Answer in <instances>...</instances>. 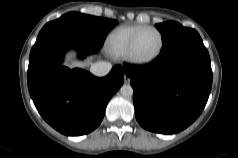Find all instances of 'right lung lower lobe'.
I'll use <instances>...</instances> for the list:
<instances>
[{
  "instance_id": "obj_1",
  "label": "right lung lower lobe",
  "mask_w": 238,
  "mask_h": 158,
  "mask_svg": "<svg viewBox=\"0 0 238 158\" xmlns=\"http://www.w3.org/2000/svg\"><path fill=\"white\" fill-rule=\"evenodd\" d=\"M70 48L77 49L80 57L99 49L68 31L37 37L30 52L27 83L44 120L60 133L76 136L99 126L109 100L124 82V73L120 65L103 78L81 69L70 70L61 65Z\"/></svg>"
}]
</instances>
